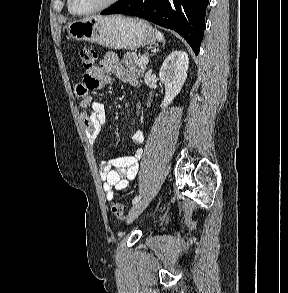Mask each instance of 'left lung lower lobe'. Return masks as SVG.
Wrapping results in <instances>:
<instances>
[{"instance_id":"0a47b994","label":"left lung lower lobe","mask_w":288,"mask_h":293,"mask_svg":"<svg viewBox=\"0 0 288 293\" xmlns=\"http://www.w3.org/2000/svg\"><path fill=\"white\" fill-rule=\"evenodd\" d=\"M209 0H119L102 15L126 14L144 18L179 33L199 54Z\"/></svg>"}]
</instances>
